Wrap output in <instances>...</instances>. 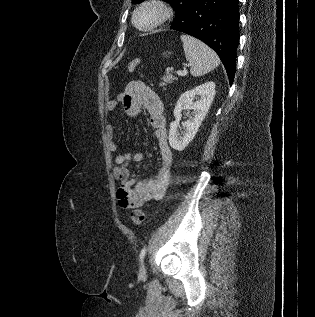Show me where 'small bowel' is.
I'll return each instance as SVG.
<instances>
[{"label": "small bowel", "instance_id": "small-bowel-1", "mask_svg": "<svg viewBox=\"0 0 315 317\" xmlns=\"http://www.w3.org/2000/svg\"><path fill=\"white\" fill-rule=\"evenodd\" d=\"M122 105L125 113L136 118L144 109L148 113L149 124L154 130L160 150V167L155 177L137 180L129 169L130 162H141L143 153L116 154L114 156L113 175L119 184L117 189L118 203L122 208L132 209L144 205L150 200L161 199L170 181L173 154L168 143L164 106L159 95L141 81L128 83L125 91L107 103V110L113 111ZM115 127L106 126V137L113 153L118 151L114 140Z\"/></svg>", "mask_w": 315, "mask_h": 317}]
</instances>
